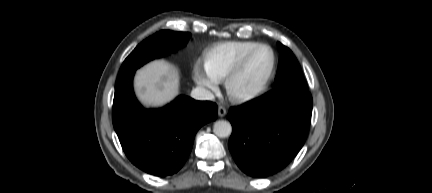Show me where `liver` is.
<instances>
[{
  "label": "liver",
  "mask_w": 432,
  "mask_h": 193,
  "mask_svg": "<svg viewBox=\"0 0 432 193\" xmlns=\"http://www.w3.org/2000/svg\"><path fill=\"white\" fill-rule=\"evenodd\" d=\"M178 69L163 60H154L139 69L135 86L139 99L145 104L158 107L172 100L179 92Z\"/></svg>",
  "instance_id": "1"
}]
</instances>
